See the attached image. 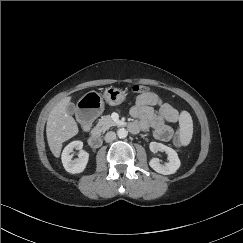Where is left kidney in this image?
<instances>
[{
	"instance_id": "1",
	"label": "left kidney",
	"mask_w": 243,
	"mask_h": 243,
	"mask_svg": "<svg viewBox=\"0 0 243 243\" xmlns=\"http://www.w3.org/2000/svg\"><path fill=\"white\" fill-rule=\"evenodd\" d=\"M149 148L152 152L164 151L168 155V162L161 164L158 158H152L149 162L150 167L163 175L174 174L180 167V160L175 150L158 142H151Z\"/></svg>"
}]
</instances>
